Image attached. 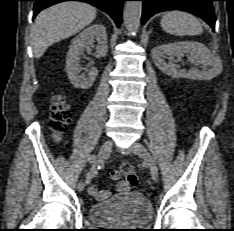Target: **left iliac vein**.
I'll list each match as a JSON object with an SVG mask.
<instances>
[{
	"label": "left iliac vein",
	"instance_id": "obj_1",
	"mask_svg": "<svg viewBox=\"0 0 234 231\" xmlns=\"http://www.w3.org/2000/svg\"><path fill=\"white\" fill-rule=\"evenodd\" d=\"M130 148L136 155H138L147 163V165L149 166L153 181H157L158 167L154 158L149 153V151L139 142H134Z\"/></svg>",
	"mask_w": 234,
	"mask_h": 231
}]
</instances>
